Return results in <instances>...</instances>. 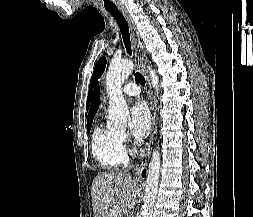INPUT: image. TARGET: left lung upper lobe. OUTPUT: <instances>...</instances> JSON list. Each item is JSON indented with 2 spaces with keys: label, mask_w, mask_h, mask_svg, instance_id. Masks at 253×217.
Segmentation results:
<instances>
[{
  "label": "left lung upper lobe",
  "mask_w": 253,
  "mask_h": 217,
  "mask_svg": "<svg viewBox=\"0 0 253 217\" xmlns=\"http://www.w3.org/2000/svg\"><path fill=\"white\" fill-rule=\"evenodd\" d=\"M106 62H107L106 58L102 57V58H100L98 60V62L95 65V69H94V72H93V75H92L91 81H90V87H89L87 105L90 102V98H91V94H92V88H93L96 80L101 77V75H102V73H103V71L105 69Z\"/></svg>",
  "instance_id": "1"
}]
</instances>
